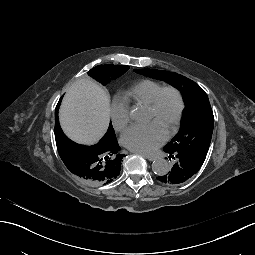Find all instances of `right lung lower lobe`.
Segmentation results:
<instances>
[{
    "label": "right lung lower lobe",
    "instance_id": "98d812e1",
    "mask_svg": "<svg viewBox=\"0 0 255 255\" xmlns=\"http://www.w3.org/2000/svg\"><path fill=\"white\" fill-rule=\"evenodd\" d=\"M100 174V156L97 153L90 154L83 150L79 153V177L87 180L89 177Z\"/></svg>",
    "mask_w": 255,
    "mask_h": 255
}]
</instances>
